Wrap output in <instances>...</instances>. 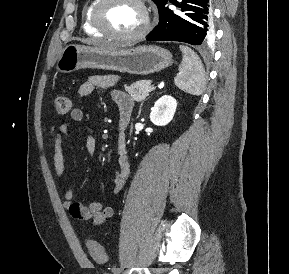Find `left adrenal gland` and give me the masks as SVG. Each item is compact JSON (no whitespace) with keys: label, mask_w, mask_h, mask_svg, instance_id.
I'll list each match as a JSON object with an SVG mask.
<instances>
[{"label":"left adrenal gland","mask_w":289,"mask_h":274,"mask_svg":"<svg viewBox=\"0 0 289 274\" xmlns=\"http://www.w3.org/2000/svg\"><path fill=\"white\" fill-rule=\"evenodd\" d=\"M142 105H143V103H142L141 106H140L139 113H138L139 115L141 114Z\"/></svg>","instance_id":"obj_1"}]
</instances>
